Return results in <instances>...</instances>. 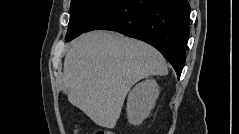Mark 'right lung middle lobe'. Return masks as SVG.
<instances>
[{
    "mask_svg": "<svg viewBox=\"0 0 239 134\" xmlns=\"http://www.w3.org/2000/svg\"><path fill=\"white\" fill-rule=\"evenodd\" d=\"M118 0H72L68 31L65 39L72 40L84 32L87 26L104 10Z\"/></svg>",
    "mask_w": 239,
    "mask_h": 134,
    "instance_id": "dd1d6c3e",
    "label": "right lung middle lobe"
}]
</instances>
